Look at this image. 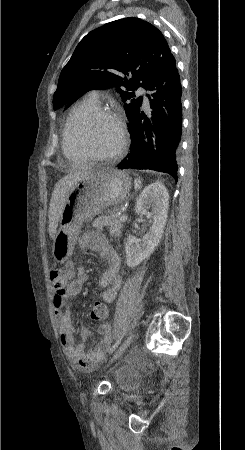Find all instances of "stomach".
<instances>
[{"label": "stomach", "instance_id": "0dacf381", "mask_svg": "<svg viewBox=\"0 0 245 450\" xmlns=\"http://www.w3.org/2000/svg\"><path fill=\"white\" fill-rule=\"evenodd\" d=\"M131 181L121 171L98 168L76 181L65 202L60 228L54 238L52 255L58 263L72 255L80 228L105 208L123 202L128 196Z\"/></svg>", "mask_w": 245, "mask_h": 450}]
</instances>
